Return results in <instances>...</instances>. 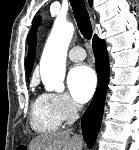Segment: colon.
Returning a JSON list of instances; mask_svg holds the SVG:
<instances>
[{
  "label": "colon",
  "instance_id": "5ec220e1",
  "mask_svg": "<svg viewBox=\"0 0 139 150\" xmlns=\"http://www.w3.org/2000/svg\"><path fill=\"white\" fill-rule=\"evenodd\" d=\"M17 150H26V147L23 146V145H20V146L17 147Z\"/></svg>",
  "mask_w": 139,
  "mask_h": 150
}]
</instances>
